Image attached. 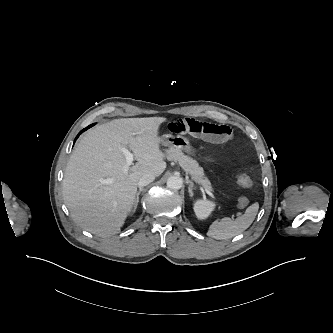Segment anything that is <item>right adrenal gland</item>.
<instances>
[{
  "instance_id": "right-adrenal-gland-1",
  "label": "right adrenal gland",
  "mask_w": 333,
  "mask_h": 333,
  "mask_svg": "<svg viewBox=\"0 0 333 333\" xmlns=\"http://www.w3.org/2000/svg\"><path fill=\"white\" fill-rule=\"evenodd\" d=\"M142 191H143V189L141 188V189H139V191L136 194V198H135L134 203H133V212H135L136 209H137L138 202H139V195Z\"/></svg>"
}]
</instances>
